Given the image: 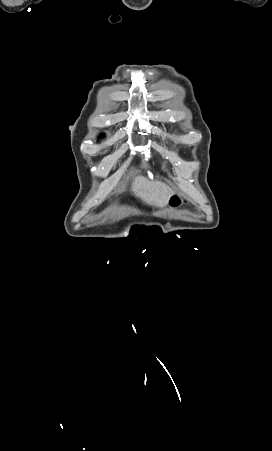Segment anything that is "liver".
Instances as JSON below:
<instances>
[{
  "mask_svg": "<svg viewBox=\"0 0 272 451\" xmlns=\"http://www.w3.org/2000/svg\"><path fill=\"white\" fill-rule=\"evenodd\" d=\"M132 192L149 206L165 208L174 192L163 182H149L144 176H137L132 182Z\"/></svg>",
  "mask_w": 272,
  "mask_h": 451,
  "instance_id": "6515ba94",
  "label": "liver"
}]
</instances>
